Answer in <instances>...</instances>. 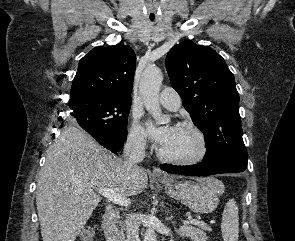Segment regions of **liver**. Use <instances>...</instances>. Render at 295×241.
I'll use <instances>...</instances> for the list:
<instances>
[{"label": "liver", "mask_w": 295, "mask_h": 241, "mask_svg": "<svg viewBox=\"0 0 295 241\" xmlns=\"http://www.w3.org/2000/svg\"><path fill=\"white\" fill-rule=\"evenodd\" d=\"M201 181L217 182L214 178ZM147 183L144 169L128 175L121 158L81 129L67 128L48 149L37 179L43 241H75L101 200L96 189L109 188L129 197L141 193Z\"/></svg>", "instance_id": "obj_1"}]
</instances>
